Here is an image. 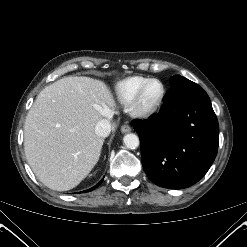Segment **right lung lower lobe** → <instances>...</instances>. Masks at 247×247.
Here are the masks:
<instances>
[{
  "label": "right lung lower lobe",
  "instance_id": "98d812e1",
  "mask_svg": "<svg viewBox=\"0 0 247 247\" xmlns=\"http://www.w3.org/2000/svg\"><path fill=\"white\" fill-rule=\"evenodd\" d=\"M102 181L103 180H101L96 186H94L93 188H91V189H88V190H86V191H83V192H88V191H91V190H93V189H95V188H97L101 183H102Z\"/></svg>",
  "mask_w": 247,
  "mask_h": 247
}]
</instances>
